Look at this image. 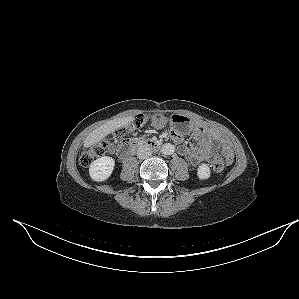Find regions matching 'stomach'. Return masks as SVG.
Masks as SVG:
<instances>
[{
    "instance_id": "obj_1",
    "label": "stomach",
    "mask_w": 299,
    "mask_h": 299,
    "mask_svg": "<svg viewBox=\"0 0 299 299\" xmlns=\"http://www.w3.org/2000/svg\"><path fill=\"white\" fill-rule=\"evenodd\" d=\"M170 121L171 124L176 126L181 132L187 133L190 131L192 121L183 115H174L172 118L168 119L161 113H155L152 116V124L155 128L161 129Z\"/></svg>"
}]
</instances>
